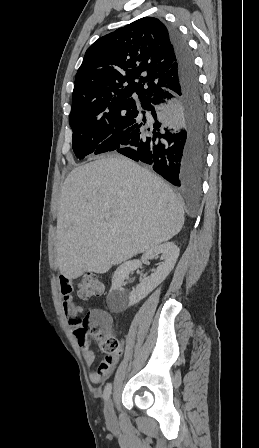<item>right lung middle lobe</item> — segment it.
Here are the masks:
<instances>
[{"label":"right lung middle lobe","mask_w":259,"mask_h":448,"mask_svg":"<svg viewBox=\"0 0 259 448\" xmlns=\"http://www.w3.org/2000/svg\"><path fill=\"white\" fill-rule=\"evenodd\" d=\"M142 105H129L105 111H85L70 115L72 148L79 159L90 153L113 151L123 131L135 122Z\"/></svg>","instance_id":"1"}]
</instances>
